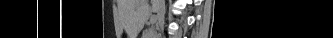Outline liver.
<instances>
[{
    "label": "liver",
    "mask_w": 333,
    "mask_h": 38,
    "mask_svg": "<svg viewBox=\"0 0 333 38\" xmlns=\"http://www.w3.org/2000/svg\"><path fill=\"white\" fill-rule=\"evenodd\" d=\"M149 0H135L133 3L131 0H121L119 2L121 12L130 11L135 9L134 11V30L139 31L143 28L144 23L148 17L150 12ZM152 11L158 14V0H151Z\"/></svg>",
    "instance_id": "6515ba94"
}]
</instances>
